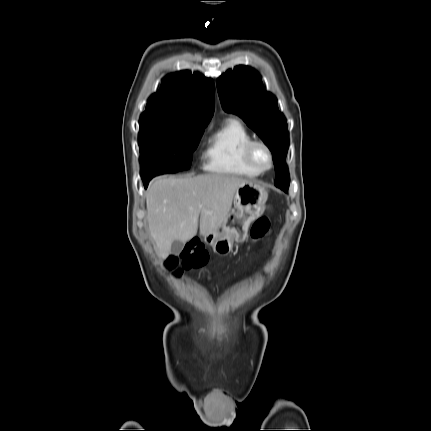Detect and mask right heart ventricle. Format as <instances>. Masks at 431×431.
<instances>
[{
	"mask_svg": "<svg viewBox=\"0 0 431 431\" xmlns=\"http://www.w3.org/2000/svg\"><path fill=\"white\" fill-rule=\"evenodd\" d=\"M252 136L241 121L229 118L209 139L205 170L213 173L256 177L261 174L243 158L245 145Z\"/></svg>",
	"mask_w": 431,
	"mask_h": 431,
	"instance_id": "1",
	"label": "right heart ventricle"
}]
</instances>
